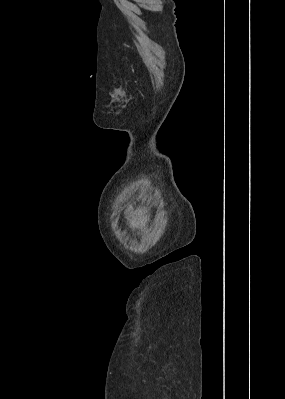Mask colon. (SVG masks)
<instances>
[{
    "instance_id": "obj_1",
    "label": "colon",
    "mask_w": 285,
    "mask_h": 399,
    "mask_svg": "<svg viewBox=\"0 0 285 399\" xmlns=\"http://www.w3.org/2000/svg\"><path fill=\"white\" fill-rule=\"evenodd\" d=\"M141 222H142L141 220L133 221L130 225H132V226H137V225H139V223H141Z\"/></svg>"
}]
</instances>
